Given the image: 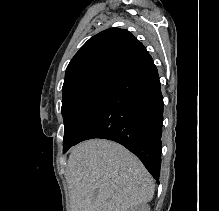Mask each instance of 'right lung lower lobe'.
I'll list each match as a JSON object with an SVG mask.
<instances>
[{
	"instance_id": "obj_1",
	"label": "right lung lower lobe",
	"mask_w": 219,
	"mask_h": 211,
	"mask_svg": "<svg viewBox=\"0 0 219 211\" xmlns=\"http://www.w3.org/2000/svg\"><path fill=\"white\" fill-rule=\"evenodd\" d=\"M163 96L153 62L119 82L73 143L102 138L134 153L157 180L161 166Z\"/></svg>"
}]
</instances>
